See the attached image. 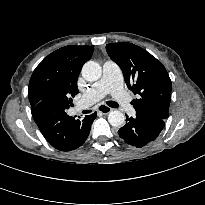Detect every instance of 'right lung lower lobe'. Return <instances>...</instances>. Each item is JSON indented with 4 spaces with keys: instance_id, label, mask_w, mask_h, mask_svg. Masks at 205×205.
I'll use <instances>...</instances> for the list:
<instances>
[{
    "instance_id": "1",
    "label": "right lung lower lobe",
    "mask_w": 205,
    "mask_h": 205,
    "mask_svg": "<svg viewBox=\"0 0 205 205\" xmlns=\"http://www.w3.org/2000/svg\"><path fill=\"white\" fill-rule=\"evenodd\" d=\"M66 109L55 99H46L35 105L32 116L45 139L60 151H70L87 139L97 113L78 120L66 114Z\"/></svg>"
}]
</instances>
